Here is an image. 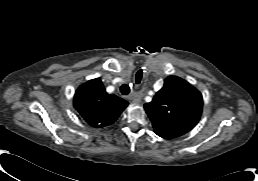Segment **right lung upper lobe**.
Returning <instances> with one entry per match:
<instances>
[{
	"label": "right lung upper lobe",
	"mask_w": 258,
	"mask_h": 181,
	"mask_svg": "<svg viewBox=\"0 0 258 181\" xmlns=\"http://www.w3.org/2000/svg\"><path fill=\"white\" fill-rule=\"evenodd\" d=\"M74 107L93 127H105L116 121L128 102L105 91L99 78L82 84L74 95Z\"/></svg>",
	"instance_id": "cb5924a9"
}]
</instances>
